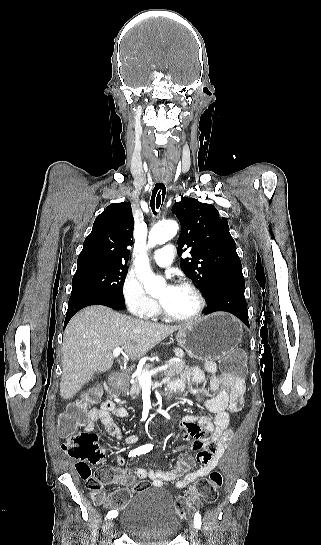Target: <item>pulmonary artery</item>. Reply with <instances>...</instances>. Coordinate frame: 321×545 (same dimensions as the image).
Returning a JSON list of instances; mask_svg holds the SVG:
<instances>
[{"label": "pulmonary artery", "mask_w": 321, "mask_h": 545, "mask_svg": "<svg viewBox=\"0 0 321 545\" xmlns=\"http://www.w3.org/2000/svg\"><path fill=\"white\" fill-rule=\"evenodd\" d=\"M152 241V237H151ZM162 244V243H161ZM170 248H173V245H170ZM175 254L173 250H164V248H159L153 252L152 259L159 266H169L174 260Z\"/></svg>", "instance_id": "e3ab8cb5"}]
</instances>
